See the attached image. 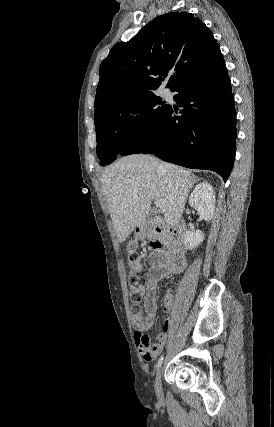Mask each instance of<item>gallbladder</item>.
<instances>
[{
  "label": "gallbladder",
  "instance_id": "1",
  "mask_svg": "<svg viewBox=\"0 0 274 427\" xmlns=\"http://www.w3.org/2000/svg\"><path fill=\"white\" fill-rule=\"evenodd\" d=\"M149 219H155V217H149ZM137 245H138V241L137 239H131V241H129L127 247H126V251H128V253H134V251H136L137 249Z\"/></svg>",
  "mask_w": 274,
  "mask_h": 427
}]
</instances>
